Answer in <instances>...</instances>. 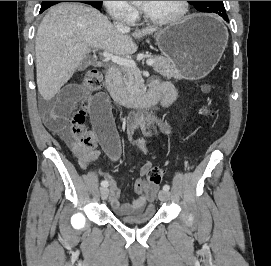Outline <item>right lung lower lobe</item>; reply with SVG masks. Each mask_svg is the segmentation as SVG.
I'll use <instances>...</instances> for the list:
<instances>
[{
    "label": "right lung lower lobe",
    "instance_id": "obj_1",
    "mask_svg": "<svg viewBox=\"0 0 271 266\" xmlns=\"http://www.w3.org/2000/svg\"><path fill=\"white\" fill-rule=\"evenodd\" d=\"M74 2H81V1H74ZM86 4H88V3H86ZM90 5H92V4H90ZM93 7H95V8H97V9H99L97 6H95V5H92ZM44 10L43 9H41L40 10V13H42Z\"/></svg>",
    "mask_w": 271,
    "mask_h": 266
}]
</instances>
